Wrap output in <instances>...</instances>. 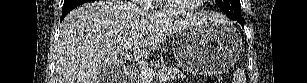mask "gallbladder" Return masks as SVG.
Wrapping results in <instances>:
<instances>
[{
  "label": "gallbladder",
  "instance_id": "bac80fb5",
  "mask_svg": "<svg viewBox=\"0 0 307 83\" xmlns=\"http://www.w3.org/2000/svg\"><path fill=\"white\" fill-rule=\"evenodd\" d=\"M114 73L112 72L111 69H104L100 75L99 78L102 80V83H111V82H115V81H111L114 77Z\"/></svg>",
  "mask_w": 307,
  "mask_h": 83
}]
</instances>
